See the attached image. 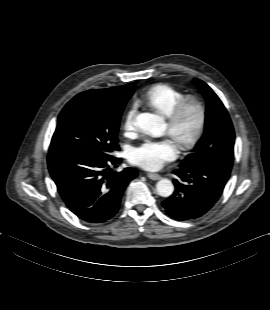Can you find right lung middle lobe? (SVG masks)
<instances>
[{
  "instance_id": "obj_1",
  "label": "right lung middle lobe",
  "mask_w": 270,
  "mask_h": 310,
  "mask_svg": "<svg viewBox=\"0 0 270 310\" xmlns=\"http://www.w3.org/2000/svg\"><path fill=\"white\" fill-rule=\"evenodd\" d=\"M123 109L98 90L78 94L58 117L49 153L110 158L114 151L119 150L117 133Z\"/></svg>"
}]
</instances>
